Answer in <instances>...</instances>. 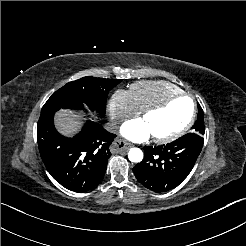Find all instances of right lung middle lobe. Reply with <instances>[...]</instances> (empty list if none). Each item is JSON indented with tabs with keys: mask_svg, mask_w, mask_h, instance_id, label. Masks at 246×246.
I'll use <instances>...</instances> for the list:
<instances>
[{
	"mask_svg": "<svg viewBox=\"0 0 246 246\" xmlns=\"http://www.w3.org/2000/svg\"><path fill=\"white\" fill-rule=\"evenodd\" d=\"M121 81L87 76L69 82L47 100L41 114L55 113L61 108L84 110V106H87L104 116L108 93Z\"/></svg>",
	"mask_w": 246,
	"mask_h": 246,
	"instance_id": "right-lung-middle-lobe-1",
	"label": "right lung middle lobe"
}]
</instances>
